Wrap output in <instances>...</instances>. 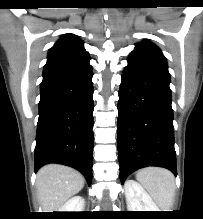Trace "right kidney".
I'll use <instances>...</instances> for the list:
<instances>
[{
	"label": "right kidney",
	"instance_id": "ca27d5eb",
	"mask_svg": "<svg viewBox=\"0 0 203 219\" xmlns=\"http://www.w3.org/2000/svg\"><path fill=\"white\" fill-rule=\"evenodd\" d=\"M85 200L81 196L69 199L59 210V212H83Z\"/></svg>",
	"mask_w": 203,
	"mask_h": 219
}]
</instances>
